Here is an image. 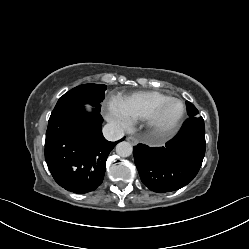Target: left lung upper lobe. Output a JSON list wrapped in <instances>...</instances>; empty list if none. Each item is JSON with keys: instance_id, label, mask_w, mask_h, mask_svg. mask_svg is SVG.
Returning <instances> with one entry per match:
<instances>
[{"instance_id": "obj_1", "label": "left lung upper lobe", "mask_w": 249, "mask_h": 249, "mask_svg": "<svg viewBox=\"0 0 249 249\" xmlns=\"http://www.w3.org/2000/svg\"><path fill=\"white\" fill-rule=\"evenodd\" d=\"M186 107H187V113H188L189 117L198 116V110L196 109V107L192 103L187 101Z\"/></svg>"}]
</instances>
